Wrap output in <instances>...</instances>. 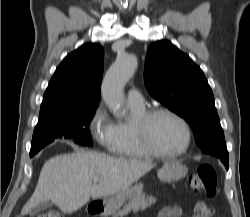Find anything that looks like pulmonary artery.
I'll return each instance as SVG.
<instances>
[{
	"instance_id": "e3ab8cb5",
	"label": "pulmonary artery",
	"mask_w": 250,
	"mask_h": 217,
	"mask_svg": "<svg viewBox=\"0 0 250 217\" xmlns=\"http://www.w3.org/2000/svg\"><path fill=\"white\" fill-rule=\"evenodd\" d=\"M127 103L130 106L142 107L144 106V97L139 89L131 88L127 93Z\"/></svg>"
}]
</instances>
